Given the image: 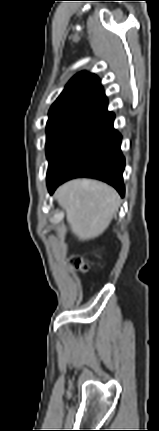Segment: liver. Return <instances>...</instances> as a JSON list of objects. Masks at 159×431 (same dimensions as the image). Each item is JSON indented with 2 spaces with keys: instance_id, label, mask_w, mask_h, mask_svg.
<instances>
[{
  "instance_id": "6515ba94",
  "label": "liver",
  "mask_w": 159,
  "mask_h": 431,
  "mask_svg": "<svg viewBox=\"0 0 159 431\" xmlns=\"http://www.w3.org/2000/svg\"><path fill=\"white\" fill-rule=\"evenodd\" d=\"M55 198L66 212L72 233L81 241L100 236L120 206L114 188L90 179L65 183L57 189Z\"/></svg>"
}]
</instances>
